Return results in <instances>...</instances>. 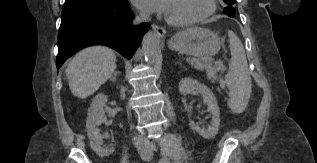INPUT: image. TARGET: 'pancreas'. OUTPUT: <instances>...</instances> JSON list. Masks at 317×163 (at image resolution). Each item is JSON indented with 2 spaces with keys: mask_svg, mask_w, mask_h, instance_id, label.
<instances>
[{
  "mask_svg": "<svg viewBox=\"0 0 317 163\" xmlns=\"http://www.w3.org/2000/svg\"><path fill=\"white\" fill-rule=\"evenodd\" d=\"M190 62L194 66V68L197 70L205 69L207 72L208 79H210L212 82H215L219 79L217 74L219 69L216 66H212L211 64H207L203 62L202 60L196 59V58L190 59Z\"/></svg>",
  "mask_w": 317,
  "mask_h": 163,
  "instance_id": "pancreas-1",
  "label": "pancreas"
}]
</instances>
